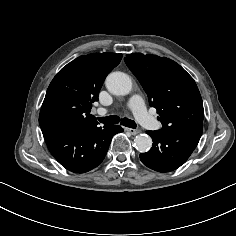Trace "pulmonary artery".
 <instances>
[{"label": "pulmonary artery", "mask_w": 236, "mask_h": 236, "mask_svg": "<svg viewBox=\"0 0 236 236\" xmlns=\"http://www.w3.org/2000/svg\"><path fill=\"white\" fill-rule=\"evenodd\" d=\"M128 106L139 123L145 125L151 121V116L148 114L144 101L141 96L139 95L132 96L131 99L129 100ZM96 113L99 116H103L107 114V110L104 108H98L96 110Z\"/></svg>", "instance_id": "obj_1"}]
</instances>
